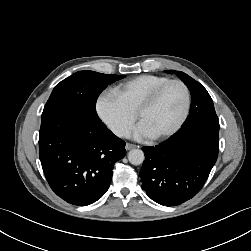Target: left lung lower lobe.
<instances>
[{"instance_id":"0a47b994","label":"left lung lower lobe","mask_w":251,"mask_h":251,"mask_svg":"<svg viewBox=\"0 0 251 251\" xmlns=\"http://www.w3.org/2000/svg\"><path fill=\"white\" fill-rule=\"evenodd\" d=\"M219 128V122L200 121L182 127L155 147H143L139 176L147 195L166 206L194 197L217 160Z\"/></svg>"}]
</instances>
